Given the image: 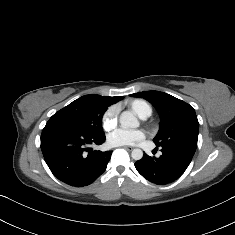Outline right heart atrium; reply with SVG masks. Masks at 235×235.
<instances>
[{
    "label": "right heart atrium",
    "instance_id": "d8ad5b80",
    "mask_svg": "<svg viewBox=\"0 0 235 235\" xmlns=\"http://www.w3.org/2000/svg\"><path fill=\"white\" fill-rule=\"evenodd\" d=\"M119 107L117 105L109 106L104 112L101 123L105 130H112L118 122Z\"/></svg>",
    "mask_w": 235,
    "mask_h": 235
}]
</instances>
